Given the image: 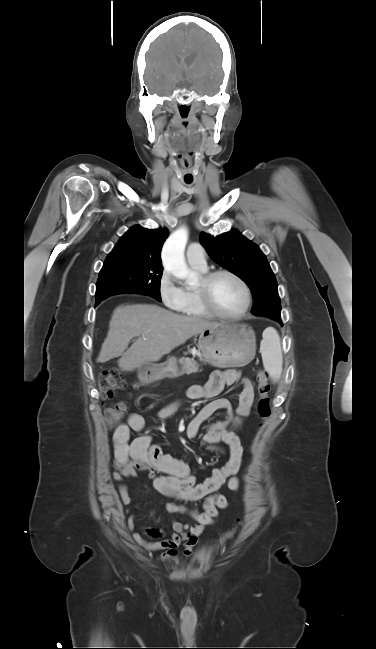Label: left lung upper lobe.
Listing matches in <instances>:
<instances>
[{
  "label": "left lung upper lobe",
  "mask_w": 376,
  "mask_h": 649,
  "mask_svg": "<svg viewBox=\"0 0 376 649\" xmlns=\"http://www.w3.org/2000/svg\"><path fill=\"white\" fill-rule=\"evenodd\" d=\"M200 242L216 263L247 283L254 298V315L267 316L281 322L276 278L257 245L236 230L217 237L202 232Z\"/></svg>",
  "instance_id": "1"
}]
</instances>
